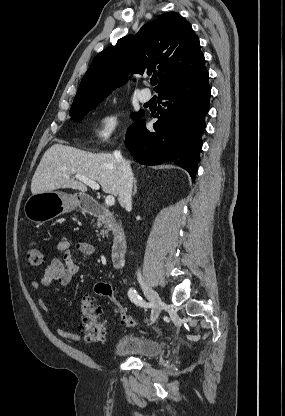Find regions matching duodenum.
<instances>
[{"instance_id":"1","label":"duodenum","mask_w":285,"mask_h":416,"mask_svg":"<svg viewBox=\"0 0 285 416\" xmlns=\"http://www.w3.org/2000/svg\"><path fill=\"white\" fill-rule=\"evenodd\" d=\"M77 200L80 206H84L87 212L96 217L111 219L112 214L100 203L97 197H90L89 193H78ZM128 240L125 232L116 228L112 236L110 251L111 265L114 269L121 268L127 253Z\"/></svg>"}]
</instances>
